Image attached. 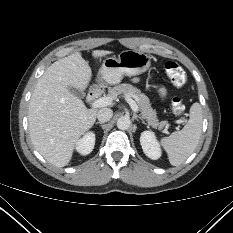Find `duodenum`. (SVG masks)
Wrapping results in <instances>:
<instances>
[{
  "label": "duodenum",
  "mask_w": 233,
  "mask_h": 233,
  "mask_svg": "<svg viewBox=\"0 0 233 233\" xmlns=\"http://www.w3.org/2000/svg\"><path fill=\"white\" fill-rule=\"evenodd\" d=\"M98 95V90L96 88H92L87 94V101L92 102Z\"/></svg>",
  "instance_id": "obj_1"
}]
</instances>
